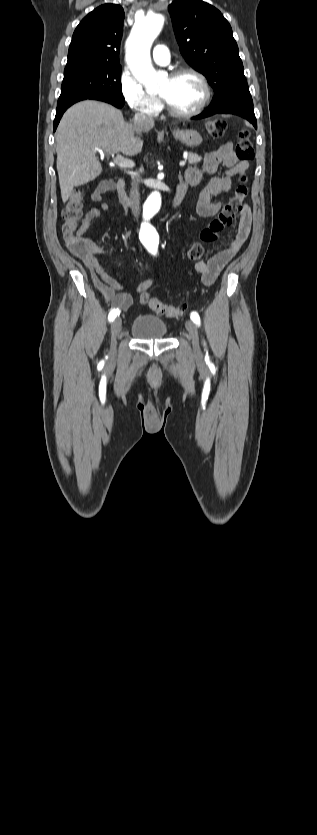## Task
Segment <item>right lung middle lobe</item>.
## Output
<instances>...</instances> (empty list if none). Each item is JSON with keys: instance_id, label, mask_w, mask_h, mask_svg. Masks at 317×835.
I'll list each match as a JSON object with an SVG mask.
<instances>
[{"instance_id": "obj_1", "label": "right lung middle lobe", "mask_w": 317, "mask_h": 835, "mask_svg": "<svg viewBox=\"0 0 317 835\" xmlns=\"http://www.w3.org/2000/svg\"><path fill=\"white\" fill-rule=\"evenodd\" d=\"M120 74V65L93 63L66 65L57 106L101 94L124 99Z\"/></svg>"}]
</instances>
